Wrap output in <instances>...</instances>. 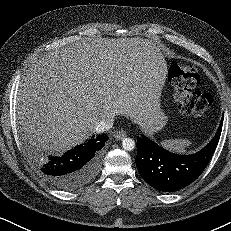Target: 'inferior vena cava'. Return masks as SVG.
Masks as SVG:
<instances>
[{
  "mask_svg": "<svg viewBox=\"0 0 231 231\" xmlns=\"http://www.w3.org/2000/svg\"><path fill=\"white\" fill-rule=\"evenodd\" d=\"M113 123H114V119L112 118L101 120L99 123H97L95 127V131L97 133H103L105 131H108L109 129L112 128Z\"/></svg>",
  "mask_w": 231,
  "mask_h": 231,
  "instance_id": "602c4592",
  "label": "inferior vena cava"
}]
</instances>
